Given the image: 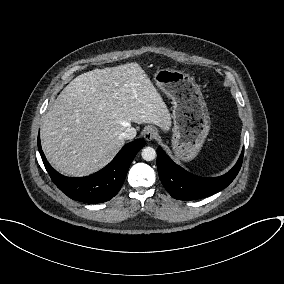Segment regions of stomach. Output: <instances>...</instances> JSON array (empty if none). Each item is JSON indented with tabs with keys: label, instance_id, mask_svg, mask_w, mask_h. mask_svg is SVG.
Wrapping results in <instances>:
<instances>
[{
	"label": "stomach",
	"instance_id": "0dacf381",
	"mask_svg": "<svg viewBox=\"0 0 284 284\" xmlns=\"http://www.w3.org/2000/svg\"><path fill=\"white\" fill-rule=\"evenodd\" d=\"M157 87L172 100V148L183 161L194 159L210 130V115L200 87L188 74L160 69L154 74Z\"/></svg>",
	"mask_w": 284,
	"mask_h": 284
}]
</instances>
